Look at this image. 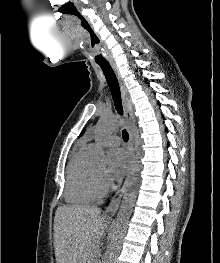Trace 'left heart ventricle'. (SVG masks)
Masks as SVG:
<instances>
[{
    "label": "left heart ventricle",
    "instance_id": "obj_1",
    "mask_svg": "<svg viewBox=\"0 0 220 263\" xmlns=\"http://www.w3.org/2000/svg\"><path fill=\"white\" fill-rule=\"evenodd\" d=\"M95 171L100 177L105 178V168H95Z\"/></svg>",
    "mask_w": 220,
    "mask_h": 263
}]
</instances>
